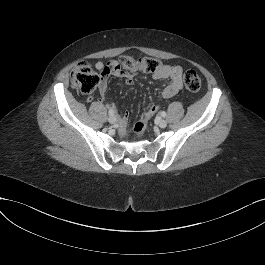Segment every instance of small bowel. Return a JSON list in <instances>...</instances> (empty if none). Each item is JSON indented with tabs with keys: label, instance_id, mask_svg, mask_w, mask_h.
Returning a JSON list of instances; mask_svg holds the SVG:
<instances>
[{
	"label": "small bowel",
	"instance_id": "c3829d8e",
	"mask_svg": "<svg viewBox=\"0 0 265 265\" xmlns=\"http://www.w3.org/2000/svg\"><path fill=\"white\" fill-rule=\"evenodd\" d=\"M96 68L100 71L101 77L99 81V93L101 95V101L105 100L108 93L109 77L111 75L119 78H123L128 85L134 84V75L128 74L122 71L119 63L115 60L110 62H97ZM183 70L179 65H163L158 71L153 73V78L156 80H169L170 83L162 90V96L164 98H172L177 95L183 88L182 83ZM93 97H88L87 101L90 103L93 101ZM107 107L117 113V107L114 103H107ZM109 110V111H110ZM129 121V114L125 113L118 118V124L120 127H125Z\"/></svg>",
	"mask_w": 265,
	"mask_h": 265
}]
</instances>
